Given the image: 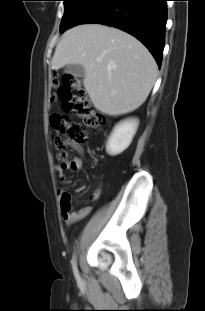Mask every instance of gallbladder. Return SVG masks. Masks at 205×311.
I'll list each match as a JSON object with an SVG mask.
<instances>
[{
    "label": "gallbladder",
    "mask_w": 205,
    "mask_h": 311,
    "mask_svg": "<svg viewBox=\"0 0 205 311\" xmlns=\"http://www.w3.org/2000/svg\"><path fill=\"white\" fill-rule=\"evenodd\" d=\"M64 71L74 77L82 78L85 76V69L80 64H69L65 67Z\"/></svg>",
    "instance_id": "1"
}]
</instances>
